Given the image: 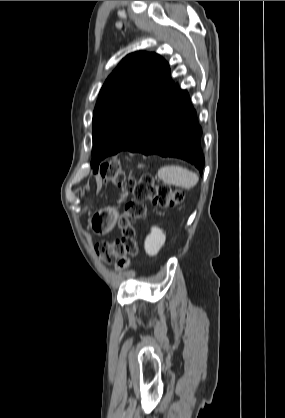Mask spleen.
<instances>
[{
	"instance_id": "3e777b00",
	"label": "spleen",
	"mask_w": 285,
	"mask_h": 418,
	"mask_svg": "<svg viewBox=\"0 0 285 418\" xmlns=\"http://www.w3.org/2000/svg\"><path fill=\"white\" fill-rule=\"evenodd\" d=\"M158 177L167 184H173L190 189L198 183V176L194 172L181 166L168 165L158 170Z\"/></svg>"
}]
</instances>
